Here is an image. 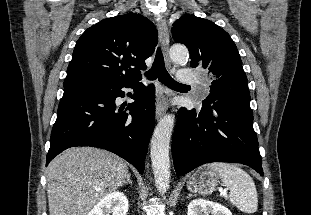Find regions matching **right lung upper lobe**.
Listing matches in <instances>:
<instances>
[{
  "mask_svg": "<svg viewBox=\"0 0 311 215\" xmlns=\"http://www.w3.org/2000/svg\"><path fill=\"white\" fill-rule=\"evenodd\" d=\"M157 34L150 20L133 12L98 22L76 42L64 86L138 82L147 68L145 59L158 42Z\"/></svg>",
  "mask_w": 311,
  "mask_h": 215,
  "instance_id": "1",
  "label": "right lung upper lobe"
}]
</instances>
